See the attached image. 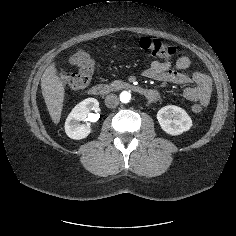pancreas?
Returning a JSON list of instances; mask_svg holds the SVG:
<instances>
[{
    "label": "pancreas",
    "instance_id": "cf45deb5",
    "mask_svg": "<svg viewBox=\"0 0 236 236\" xmlns=\"http://www.w3.org/2000/svg\"><path fill=\"white\" fill-rule=\"evenodd\" d=\"M120 84H121V81L116 80V81H114V82H112V83L110 84V87H111L112 89H115V88H117Z\"/></svg>",
    "mask_w": 236,
    "mask_h": 236
}]
</instances>
